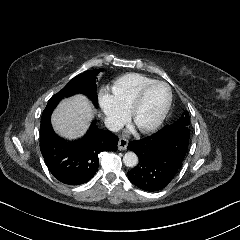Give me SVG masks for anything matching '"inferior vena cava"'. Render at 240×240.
<instances>
[{"label": "inferior vena cava", "instance_id": "1", "mask_svg": "<svg viewBox=\"0 0 240 240\" xmlns=\"http://www.w3.org/2000/svg\"><path fill=\"white\" fill-rule=\"evenodd\" d=\"M104 123L105 126L111 131H119L123 127L121 122L111 117L105 118Z\"/></svg>", "mask_w": 240, "mask_h": 240}]
</instances>
